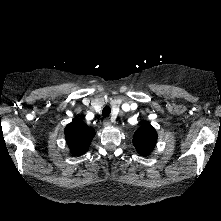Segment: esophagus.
<instances>
[{
	"label": "esophagus",
	"instance_id": "esophagus-1",
	"mask_svg": "<svg viewBox=\"0 0 221 221\" xmlns=\"http://www.w3.org/2000/svg\"><path fill=\"white\" fill-rule=\"evenodd\" d=\"M111 121L109 120V119H105L104 121H103V125L105 126V127H109V126H111Z\"/></svg>",
	"mask_w": 221,
	"mask_h": 221
}]
</instances>
